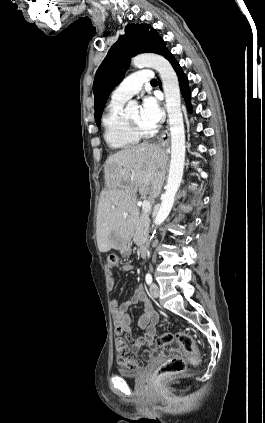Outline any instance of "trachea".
<instances>
[{
  "label": "trachea",
  "instance_id": "trachea-1",
  "mask_svg": "<svg viewBox=\"0 0 265 423\" xmlns=\"http://www.w3.org/2000/svg\"><path fill=\"white\" fill-rule=\"evenodd\" d=\"M151 84H157V80L156 79L151 80Z\"/></svg>",
  "mask_w": 265,
  "mask_h": 423
}]
</instances>
